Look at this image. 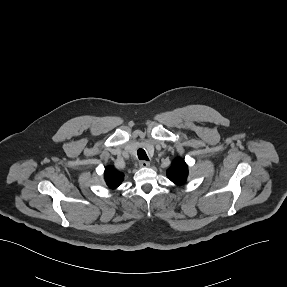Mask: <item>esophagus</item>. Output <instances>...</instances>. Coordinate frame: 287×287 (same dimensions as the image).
Masks as SVG:
<instances>
[{
    "instance_id": "obj_1",
    "label": "esophagus",
    "mask_w": 287,
    "mask_h": 287,
    "mask_svg": "<svg viewBox=\"0 0 287 287\" xmlns=\"http://www.w3.org/2000/svg\"><path fill=\"white\" fill-rule=\"evenodd\" d=\"M139 166L143 167V168L149 167L150 163L148 161L142 160V161L139 162Z\"/></svg>"
}]
</instances>
